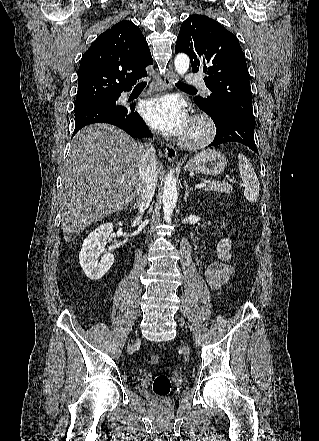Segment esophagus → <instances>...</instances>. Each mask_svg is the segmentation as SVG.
<instances>
[{"label":"esophagus","instance_id":"1","mask_svg":"<svg viewBox=\"0 0 319 441\" xmlns=\"http://www.w3.org/2000/svg\"><path fill=\"white\" fill-rule=\"evenodd\" d=\"M176 80H177L176 73L172 69H169L167 73L164 75L165 87L169 90L173 89ZM165 155L169 162H173L177 156L176 149L173 146L166 144Z\"/></svg>","mask_w":319,"mask_h":441}]
</instances>
